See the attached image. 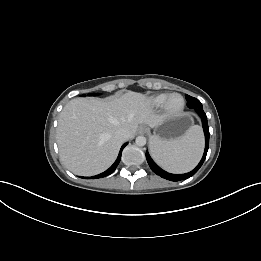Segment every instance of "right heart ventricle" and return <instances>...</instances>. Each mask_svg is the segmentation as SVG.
<instances>
[{
  "mask_svg": "<svg viewBox=\"0 0 261 261\" xmlns=\"http://www.w3.org/2000/svg\"><path fill=\"white\" fill-rule=\"evenodd\" d=\"M168 94L162 93V94H157L148 99V103L150 106L154 108H160L164 105L165 100L167 99Z\"/></svg>",
  "mask_w": 261,
  "mask_h": 261,
  "instance_id": "1",
  "label": "right heart ventricle"
}]
</instances>
